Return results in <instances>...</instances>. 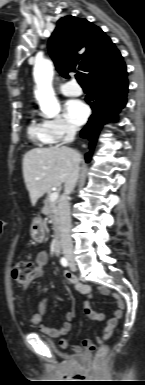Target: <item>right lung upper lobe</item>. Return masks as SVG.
Instances as JSON below:
<instances>
[{
  "instance_id": "obj_1",
  "label": "right lung upper lobe",
  "mask_w": 145,
  "mask_h": 385,
  "mask_svg": "<svg viewBox=\"0 0 145 385\" xmlns=\"http://www.w3.org/2000/svg\"><path fill=\"white\" fill-rule=\"evenodd\" d=\"M48 48L56 68L64 77L78 69L87 81L114 70L123 62L114 43L99 27L73 16L58 20Z\"/></svg>"
}]
</instances>
